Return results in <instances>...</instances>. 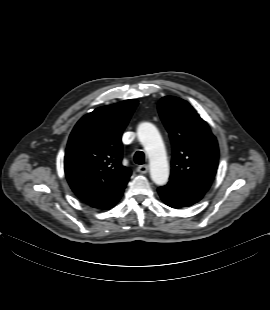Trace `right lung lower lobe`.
Here are the masks:
<instances>
[{
	"label": "right lung lower lobe",
	"instance_id": "right-lung-lower-lobe-1",
	"mask_svg": "<svg viewBox=\"0 0 270 310\" xmlns=\"http://www.w3.org/2000/svg\"><path fill=\"white\" fill-rule=\"evenodd\" d=\"M126 184L121 186L119 189H117L115 192H113L111 195L107 196L103 200L91 204L90 206L98 209H109L113 207L122 196Z\"/></svg>",
	"mask_w": 270,
	"mask_h": 310
}]
</instances>
